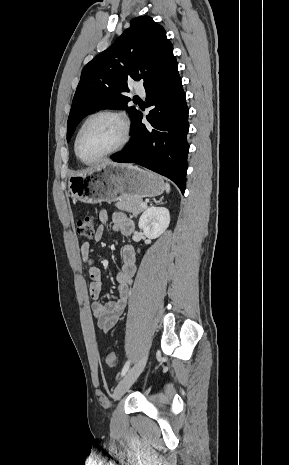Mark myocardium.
Masks as SVG:
<instances>
[{
  "label": "myocardium",
  "instance_id": "f54148a6",
  "mask_svg": "<svg viewBox=\"0 0 289 465\" xmlns=\"http://www.w3.org/2000/svg\"><path fill=\"white\" fill-rule=\"evenodd\" d=\"M101 116H106V117H110V118H113L115 119L116 121H118L121 125V128H122V139L120 141V143L113 149L101 154L100 156L94 158V159H91V160H85L81 157L80 153H79V139H80V136L82 134V131L84 130L85 126L88 124V122H90L92 119L94 118H97V117H101ZM130 140V125H129V121L127 119V117L117 111V110H114V109H108V108H103V109H99V110H96L94 112H92L90 115H88L84 121L82 122L81 126L79 127L77 133H76V136H75V140H74V151H75V155L77 156V158L85 163V164H93V163H96L108 156H111L119 151H121L129 142Z\"/></svg>",
  "mask_w": 289,
  "mask_h": 465
}]
</instances>
